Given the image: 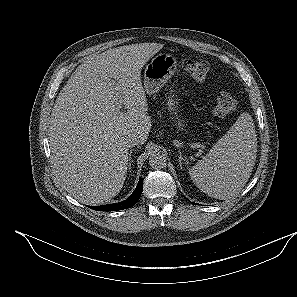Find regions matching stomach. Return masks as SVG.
I'll use <instances>...</instances> for the list:
<instances>
[{
    "mask_svg": "<svg viewBox=\"0 0 297 297\" xmlns=\"http://www.w3.org/2000/svg\"><path fill=\"white\" fill-rule=\"evenodd\" d=\"M178 63L171 54L159 53L146 66L144 71V89L148 94L158 92L163 85L176 73ZM168 110L177 119V129L184 130L186 124L177 113L176 101L169 98Z\"/></svg>",
    "mask_w": 297,
    "mask_h": 297,
    "instance_id": "1",
    "label": "stomach"
}]
</instances>
